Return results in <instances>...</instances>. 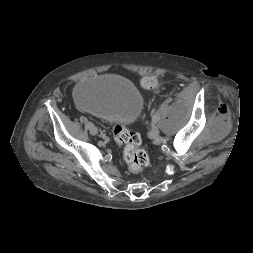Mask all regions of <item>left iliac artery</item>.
Returning <instances> with one entry per match:
<instances>
[{
  "label": "left iliac artery",
  "instance_id": "1",
  "mask_svg": "<svg viewBox=\"0 0 253 253\" xmlns=\"http://www.w3.org/2000/svg\"><path fill=\"white\" fill-rule=\"evenodd\" d=\"M159 120H160L159 115H158V114H155V111L153 110V112H152V121H153L154 123H157Z\"/></svg>",
  "mask_w": 253,
  "mask_h": 253
}]
</instances>
